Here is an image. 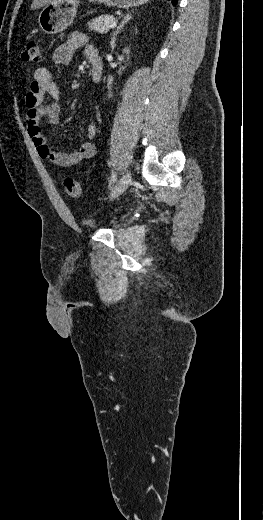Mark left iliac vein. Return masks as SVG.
Wrapping results in <instances>:
<instances>
[{
    "label": "left iliac vein",
    "mask_w": 263,
    "mask_h": 520,
    "mask_svg": "<svg viewBox=\"0 0 263 520\" xmlns=\"http://www.w3.org/2000/svg\"><path fill=\"white\" fill-rule=\"evenodd\" d=\"M130 182L131 174L130 172H125L113 188L110 198L115 199L119 197L127 189Z\"/></svg>",
    "instance_id": "1"
}]
</instances>
